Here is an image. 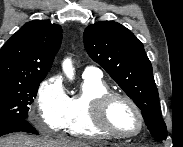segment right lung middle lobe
Returning <instances> with one entry per match:
<instances>
[{"label":"right lung middle lobe","mask_w":183,"mask_h":147,"mask_svg":"<svg viewBox=\"0 0 183 147\" xmlns=\"http://www.w3.org/2000/svg\"><path fill=\"white\" fill-rule=\"evenodd\" d=\"M44 78L22 83H0V123L27 119L28 110Z\"/></svg>","instance_id":"1"}]
</instances>
